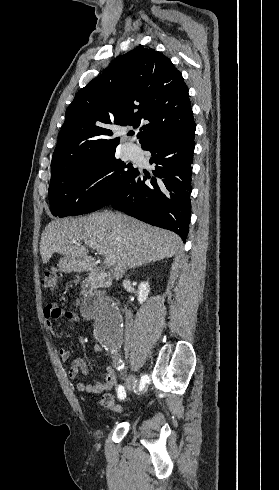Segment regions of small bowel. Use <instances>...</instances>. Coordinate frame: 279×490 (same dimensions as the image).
Returning <instances> with one entry per match:
<instances>
[{
	"instance_id": "obj_1",
	"label": "small bowel",
	"mask_w": 279,
	"mask_h": 490,
	"mask_svg": "<svg viewBox=\"0 0 279 490\" xmlns=\"http://www.w3.org/2000/svg\"><path fill=\"white\" fill-rule=\"evenodd\" d=\"M44 325L47 329H52L55 321L65 319L70 322H78L79 315L72 310L64 309L55 303H49L43 310ZM99 350V347H95ZM59 356L63 361H68L71 357V352L66 347L59 348ZM89 369L85 361L81 358L73 360L68 376L71 380H78L82 376H86ZM115 385V374L112 367H107L103 375V381H98L95 384H85L78 381L76 383V391L87 395H98L103 392L111 391Z\"/></svg>"
}]
</instances>
